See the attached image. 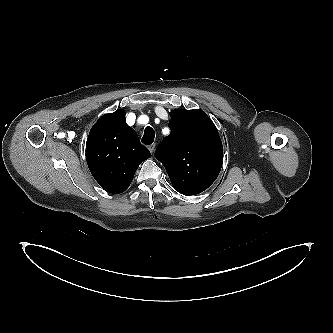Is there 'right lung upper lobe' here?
Segmentation results:
<instances>
[{
  "label": "right lung upper lobe",
  "mask_w": 333,
  "mask_h": 333,
  "mask_svg": "<svg viewBox=\"0 0 333 333\" xmlns=\"http://www.w3.org/2000/svg\"><path fill=\"white\" fill-rule=\"evenodd\" d=\"M151 156L125 120V111L118 110L98 119L86 142L88 167L106 191L124 192L140 163Z\"/></svg>",
  "instance_id": "obj_1"
}]
</instances>
